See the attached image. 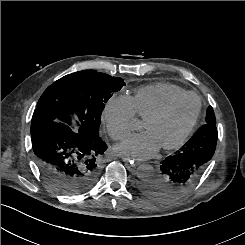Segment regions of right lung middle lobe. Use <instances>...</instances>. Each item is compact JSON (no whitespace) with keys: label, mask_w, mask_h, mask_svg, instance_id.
Segmentation results:
<instances>
[{"label":"right lung middle lobe","mask_w":245,"mask_h":245,"mask_svg":"<svg viewBox=\"0 0 245 245\" xmlns=\"http://www.w3.org/2000/svg\"><path fill=\"white\" fill-rule=\"evenodd\" d=\"M124 85L123 79L95 70L75 72L49 86L37 108L48 110L54 118L68 124L70 115H75L78 132L88 139L96 138L105 103Z\"/></svg>","instance_id":"obj_1"}]
</instances>
